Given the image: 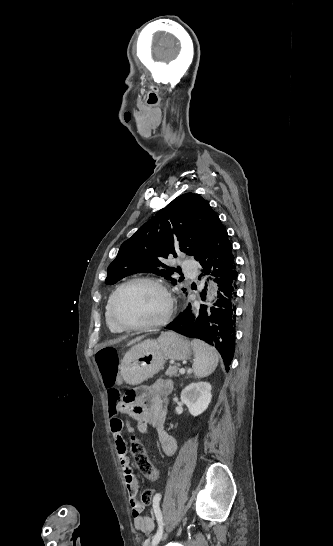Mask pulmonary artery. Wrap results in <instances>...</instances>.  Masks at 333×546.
I'll return each mask as SVG.
<instances>
[{
  "label": "pulmonary artery",
  "mask_w": 333,
  "mask_h": 546,
  "mask_svg": "<svg viewBox=\"0 0 333 546\" xmlns=\"http://www.w3.org/2000/svg\"><path fill=\"white\" fill-rule=\"evenodd\" d=\"M182 265L186 271H190L193 267V262L191 260H184L182 262Z\"/></svg>",
  "instance_id": "pulmonary-artery-1"
}]
</instances>
